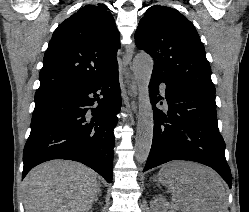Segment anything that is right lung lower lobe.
Listing matches in <instances>:
<instances>
[{"instance_id": "98d812e1", "label": "right lung lower lobe", "mask_w": 249, "mask_h": 212, "mask_svg": "<svg viewBox=\"0 0 249 212\" xmlns=\"http://www.w3.org/2000/svg\"><path fill=\"white\" fill-rule=\"evenodd\" d=\"M93 105L97 107L90 108ZM120 106L118 68L95 82L35 96L22 178L40 163L66 159L91 167L111 183Z\"/></svg>"}]
</instances>
